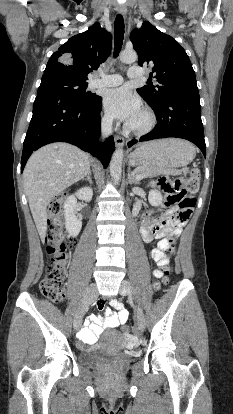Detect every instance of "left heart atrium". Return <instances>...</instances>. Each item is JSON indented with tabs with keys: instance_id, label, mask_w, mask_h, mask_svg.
I'll return each instance as SVG.
<instances>
[{
	"instance_id": "1",
	"label": "left heart atrium",
	"mask_w": 233,
	"mask_h": 414,
	"mask_svg": "<svg viewBox=\"0 0 233 414\" xmlns=\"http://www.w3.org/2000/svg\"><path fill=\"white\" fill-rule=\"evenodd\" d=\"M103 106L114 119L131 124L141 113L140 100L124 87L108 90L103 96Z\"/></svg>"
}]
</instances>
